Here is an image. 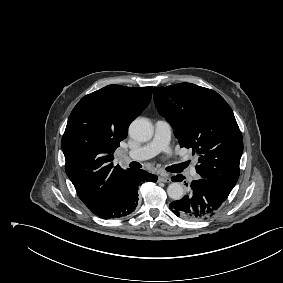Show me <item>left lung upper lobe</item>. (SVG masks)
<instances>
[{"label":"left lung upper lobe","mask_w":283,"mask_h":283,"mask_svg":"<svg viewBox=\"0 0 283 283\" xmlns=\"http://www.w3.org/2000/svg\"><path fill=\"white\" fill-rule=\"evenodd\" d=\"M153 96L180 146L198 155L201 178L232 190L239 178L243 139L227 102L217 92L191 83L156 87Z\"/></svg>","instance_id":"5c2ea615"}]
</instances>
